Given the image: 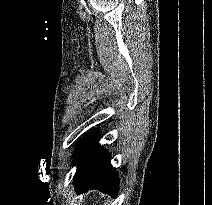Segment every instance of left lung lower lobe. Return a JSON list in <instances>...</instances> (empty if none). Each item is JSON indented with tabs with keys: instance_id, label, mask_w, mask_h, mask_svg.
Instances as JSON below:
<instances>
[{
	"instance_id": "obj_1",
	"label": "left lung lower lobe",
	"mask_w": 212,
	"mask_h": 205,
	"mask_svg": "<svg viewBox=\"0 0 212 205\" xmlns=\"http://www.w3.org/2000/svg\"><path fill=\"white\" fill-rule=\"evenodd\" d=\"M100 134L94 130L79 141L73 152L77 170L74 186L77 193L97 189L117 195L119 178L110 164L107 151L98 144Z\"/></svg>"
}]
</instances>
